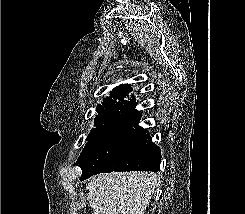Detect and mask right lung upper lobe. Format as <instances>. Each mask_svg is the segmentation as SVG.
I'll use <instances>...</instances> for the list:
<instances>
[{"mask_svg":"<svg viewBox=\"0 0 245 214\" xmlns=\"http://www.w3.org/2000/svg\"><path fill=\"white\" fill-rule=\"evenodd\" d=\"M132 91L128 84L114 88L110 97L104 98L102 105H98L95 126L89 135H106L116 130L131 129L140 119L141 113L135 110V98L124 100ZM118 99V100H116Z\"/></svg>","mask_w":245,"mask_h":214,"instance_id":"obj_1","label":"right lung upper lobe"}]
</instances>
